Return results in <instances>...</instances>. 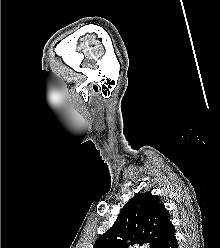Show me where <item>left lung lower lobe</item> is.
Listing matches in <instances>:
<instances>
[{"label": "left lung lower lobe", "mask_w": 220, "mask_h": 248, "mask_svg": "<svg viewBox=\"0 0 220 248\" xmlns=\"http://www.w3.org/2000/svg\"><path fill=\"white\" fill-rule=\"evenodd\" d=\"M158 248H178L174 226L169 228Z\"/></svg>", "instance_id": "obj_1"}]
</instances>
